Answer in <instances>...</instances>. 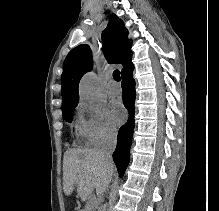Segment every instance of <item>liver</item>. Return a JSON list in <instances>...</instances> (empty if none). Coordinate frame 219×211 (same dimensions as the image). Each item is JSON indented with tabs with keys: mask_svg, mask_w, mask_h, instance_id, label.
<instances>
[{
	"mask_svg": "<svg viewBox=\"0 0 219 211\" xmlns=\"http://www.w3.org/2000/svg\"><path fill=\"white\" fill-rule=\"evenodd\" d=\"M115 167L98 149H67L63 161V189L70 195L76 189L82 201L88 199L93 189L106 191L114 175ZM94 201H98L93 197ZM85 211V209H80Z\"/></svg>",
	"mask_w": 219,
	"mask_h": 211,
	"instance_id": "obj_1",
	"label": "liver"
}]
</instances>
